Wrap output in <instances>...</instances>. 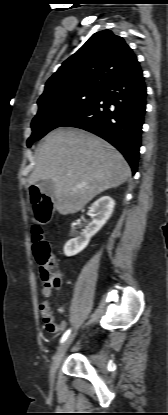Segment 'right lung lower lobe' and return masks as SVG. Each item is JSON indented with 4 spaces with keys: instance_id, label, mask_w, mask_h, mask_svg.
<instances>
[{
    "instance_id": "obj_1",
    "label": "right lung lower lobe",
    "mask_w": 168,
    "mask_h": 415,
    "mask_svg": "<svg viewBox=\"0 0 168 415\" xmlns=\"http://www.w3.org/2000/svg\"><path fill=\"white\" fill-rule=\"evenodd\" d=\"M146 108V86L139 63L112 80L100 98L65 122L92 132L116 147L137 171L142 125Z\"/></svg>"
}]
</instances>
